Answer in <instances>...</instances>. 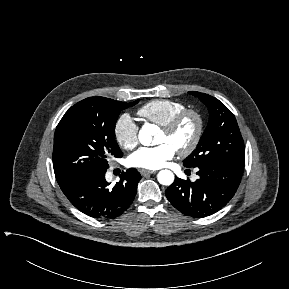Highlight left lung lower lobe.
<instances>
[{
	"instance_id": "1",
	"label": "left lung lower lobe",
	"mask_w": 289,
	"mask_h": 289,
	"mask_svg": "<svg viewBox=\"0 0 289 289\" xmlns=\"http://www.w3.org/2000/svg\"><path fill=\"white\" fill-rule=\"evenodd\" d=\"M199 179L175 178L165 194L170 203L185 215L209 216L222 209L240 184L244 165L230 161L208 162L198 166Z\"/></svg>"
}]
</instances>
